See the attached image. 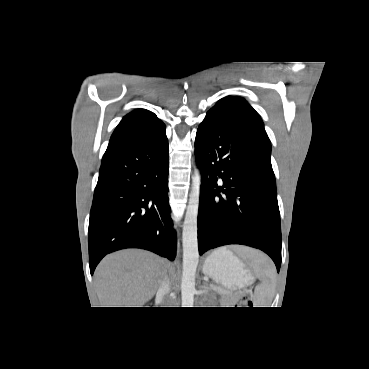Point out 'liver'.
I'll return each instance as SVG.
<instances>
[{
    "label": "liver",
    "instance_id": "1",
    "mask_svg": "<svg viewBox=\"0 0 369 369\" xmlns=\"http://www.w3.org/2000/svg\"><path fill=\"white\" fill-rule=\"evenodd\" d=\"M167 268L165 259L144 250L109 254L95 270L98 298L103 307H142L155 295Z\"/></svg>",
    "mask_w": 369,
    "mask_h": 369
}]
</instances>
